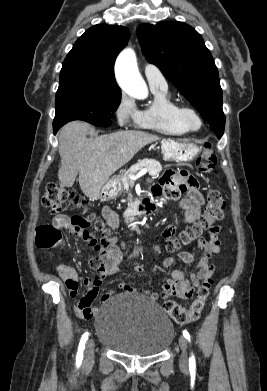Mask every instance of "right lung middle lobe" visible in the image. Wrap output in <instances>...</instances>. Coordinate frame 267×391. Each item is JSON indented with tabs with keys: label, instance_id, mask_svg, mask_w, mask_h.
Here are the masks:
<instances>
[{
	"label": "right lung middle lobe",
	"instance_id": "obj_1",
	"mask_svg": "<svg viewBox=\"0 0 267 391\" xmlns=\"http://www.w3.org/2000/svg\"><path fill=\"white\" fill-rule=\"evenodd\" d=\"M120 100L121 90L112 82L89 75L62 78L56 92L53 126L61 127L72 120L110 126Z\"/></svg>",
	"mask_w": 267,
	"mask_h": 391
}]
</instances>
